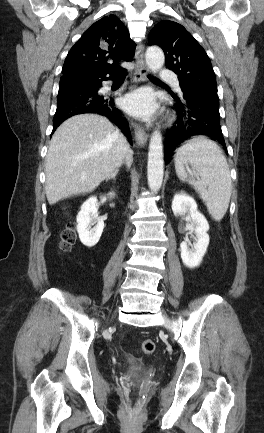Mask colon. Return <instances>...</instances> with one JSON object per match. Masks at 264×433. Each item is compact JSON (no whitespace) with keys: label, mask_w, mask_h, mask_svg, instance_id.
Listing matches in <instances>:
<instances>
[{"label":"colon","mask_w":264,"mask_h":433,"mask_svg":"<svg viewBox=\"0 0 264 433\" xmlns=\"http://www.w3.org/2000/svg\"><path fill=\"white\" fill-rule=\"evenodd\" d=\"M75 225L69 222L60 233V249L68 251L75 243ZM156 349V344L152 339H145L141 343V350L144 354H152Z\"/></svg>","instance_id":"colon-1"}]
</instances>
